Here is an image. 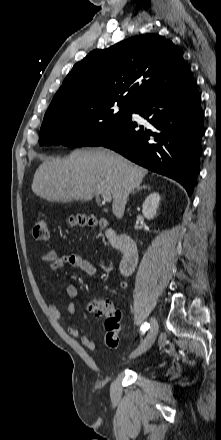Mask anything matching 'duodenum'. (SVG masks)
<instances>
[{"mask_svg": "<svg viewBox=\"0 0 221 440\" xmlns=\"http://www.w3.org/2000/svg\"><path fill=\"white\" fill-rule=\"evenodd\" d=\"M106 236L122 254L119 264L120 273L123 276L129 275L138 261V250L133 238L128 234L117 233L112 229L107 230Z\"/></svg>", "mask_w": 221, "mask_h": 440, "instance_id": "1", "label": "duodenum"}]
</instances>
